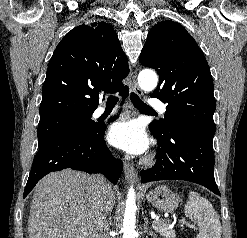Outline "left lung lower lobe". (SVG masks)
I'll list each match as a JSON object with an SVG mask.
<instances>
[{
  "instance_id": "0a47b994",
  "label": "left lung lower lobe",
  "mask_w": 247,
  "mask_h": 238,
  "mask_svg": "<svg viewBox=\"0 0 247 238\" xmlns=\"http://www.w3.org/2000/svg\"><path fill=\"white\" fill-rule=\"evenodd\" d=\"M151 132L158 141V161L151 169L141 171L142 182L185 180L220 195L213 172L212 138L182 125L173 126L166 137Z\"/></svg>"
}]
</instances>
